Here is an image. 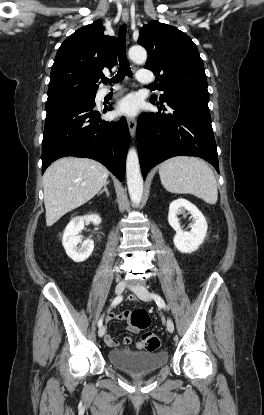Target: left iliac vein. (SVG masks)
Listing matches in <instances>:
<instances>
[{"label":"left iliac vein","instance_id":"left-iliac-vein-1","mask_svg":"<svg viewBox=\"0 0 264 415\" xmlns=\"http://www.w3.org/2000/svg\"><path fill=\"white\" fill-rule=\"evenodd\" d=\"M130 289L137 295V297L143 301H149L150 295L148 289L143 285H132ZM167 330L172 333L174 331V323L170 317L166 319Z\"/></svg>","mask_w":264,"mask_h":415}]
</instances>
